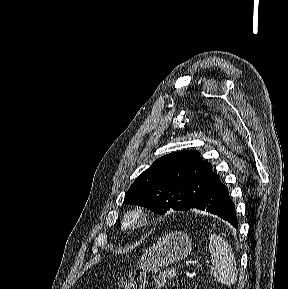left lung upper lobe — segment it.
<instances>
[{
  "mask_svg": "<svg viewBox=\"0 0 288 289\" xmlns=\"http://www.w3.org/2000/svg\"><path fill=\"white\" fill-rule=\"evenodd\" d=\"M218 179L198 151L171 153L157 159L136 178L124 203L144 205L160 215L170 209L187 211Z\"/></svg>",
  "mask_w": 288,
  "mask_h": 289,
  "instance_id": "obj_1",
  "label": "left lung upper lobe"
}]
</instances>
